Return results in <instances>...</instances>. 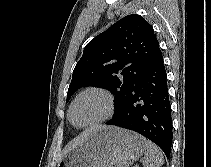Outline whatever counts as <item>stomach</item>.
I'll return each mask as SVG.
<instances>
[{"label":"stomach","instance_id":"obj_1","mask_svg":"<svg viewBox=\"0 0 211 167\" xmlns=\"http://www.w3.org/2000/svg\"><path fill=\"white\" fill-rule=\"evenodd\" d=\"M145 139L118 127L92 131L57 167H130L145 151Z\"/></svg>","mask_w":211,"mask_h":167}]
</instances>
